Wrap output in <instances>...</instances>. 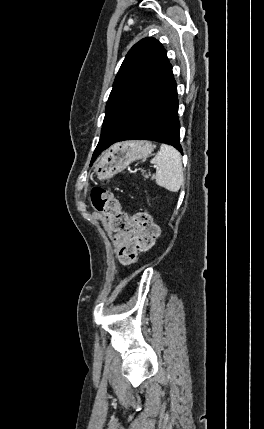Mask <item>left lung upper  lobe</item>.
Masks as SVG:
<instances>
[{"label": "left lung upper lobe", "instance_id": "obj_1", "mask_svg": "<svg viewBox=\"0 0 264 429\" xmlns=\"http://www.w3.org/2000/svg\"><path fill=\"white\" fill-rule=\"evenodd\" d=\"M168 64L166 50L154 38H144L130 49L107 101L95 150L109 147L122 135L136 108L161 79Z\"/></svg>", "mask_w": 264, "mask_h": 429}]
</instances>
